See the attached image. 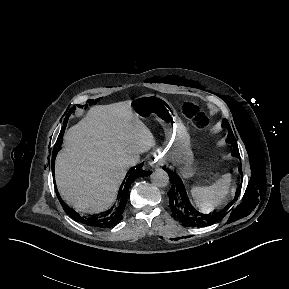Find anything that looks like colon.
Segmentation results:
<instances>
[{
  "label": "colon",
  "instance_id": "5ec220e1",
  "mask_svg": "<svg viewBox=\"0 0 289 289\" xmlns=\"http://www.w3.org/2000/svg\"><path fill=\"white\" fill-rule=\"evenodd\" d=\"M184 110L187 112V114L190 117H193V118H196V119L199 118L200 109H199V107L196 104L191 103V102H186L184 104Z\"/></svg>",
  "mask_w": 289,
  "mask_h": 289
}]
</instances>
